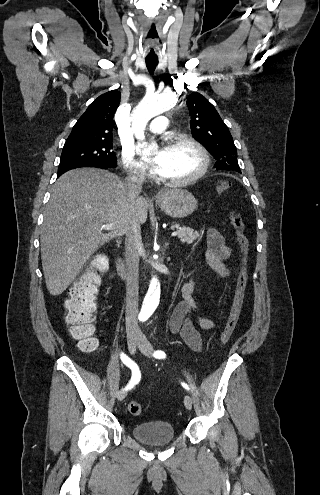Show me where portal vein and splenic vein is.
Returning <instances> with one entry per match:
<instances>
[{"label": "portal vein and splenic vein", "instance_id": "18ae733b", "mask_svg": "<svg viewBox=\"0 0 320 495\" xmlns=\"http://www.w3.org/2000/svg\"><path fill=\"white\" fill-rule=\"evenodd\" d=\"M104 227H105L106 229H112V225H106V226H104ZM171 235H172V236H176V235H178V233H177V232H173Z\"/></svg>", "mask_w": 320, "mask_h": 495}]
</instances>
